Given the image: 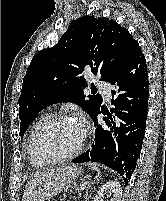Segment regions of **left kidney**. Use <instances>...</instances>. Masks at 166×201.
Returning a JSON list of instances; mask_svg holds the SVG:
<instances>
[{"instance_id": "obj_1", "label": "left kidney", "mask_w": 166, "mask_h": 201, "mask_svg": "<svg viewBox=\"0 0 166 201\" xmlns=\"http://www.w3.org/2000/svg\"><path fill=\"white\" fill-rule=\"evenodd\" d=\"M108 194H113V198L110 201H121L122 189L117 180H112L104 184L95 196L94 201H104V195Z\"/></svg>"}]
</instances>
